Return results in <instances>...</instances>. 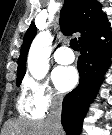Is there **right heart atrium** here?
<instances>
[{"label":"right heart atrium","instance_id":"1","mask_svg":"<svg viewBox=\"0 0 112 135\" xmlns=\"http://www.w3.org/2000/svg\"><path fill=\"white\" fill-rule=\"evenodd\" d=\"M25 91L28 93L33 106L42 114L59 106L61 96L48 82L27 78L24 83Z\"/></svg>","mask_w":112,"mask_h":135}]
</instances>
